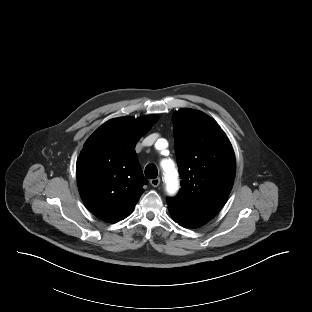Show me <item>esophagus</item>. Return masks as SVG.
I'll list each match as a JSON object with an SVG mask.
<instances>
[{
    "label": "esophagus",
    "instance_id": "obj_1",
    "mask_svg": "<svg viewBox=\"0 0 312 312\" xmlns=\"http://www.w3.org/2000/svg\"><path fill=\"white\" fill-rule=\"evenodd\" d=\"M150 184H151L153 187H157V186L160 184V178L151 179V180H150Z\"/></svg>",
    "mask_w": 312,
    "mask_h": 312
}]
</instances>
